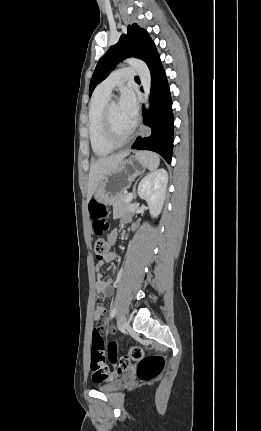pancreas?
I'll return each instance as SVG.
<instances>
[{
	"instance_id": "cf45deb5",
	"label": "pancreas",
	"mask_w": 261,
	"mask_h": 431,
	"mask_svg": "<svg viewBox=\"0 0 261 431\" xmlns=\"http://www.w3.org/2000/svg\"><path fill=\"white\" fill-rule=\"evenodd\" d=\"M127 195L119 194L115 197L113 201V213L117 216L120 213L127 212L131 206V202H126Z\"/></svg>"
}]
</instances>
